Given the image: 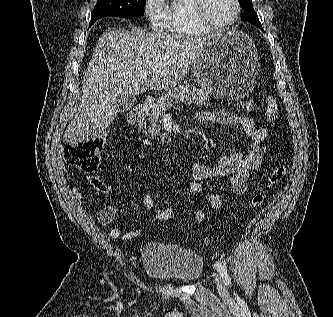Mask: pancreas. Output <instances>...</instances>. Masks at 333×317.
Instances as JSON below:
<instances>
[{
	"instance_id": "obj_1",
	"label": "pancreas",
	"mask_w": 333,
	"mask_h": 317,
	"mask_svg": "<svg viewBox=\"0 0 333 317\" xmlns=\"http://www.w3.org/2000/svg\"><path fill=\"white\" fill-rule=\"evenodd\" d=\"M207 99L208 94L206 92L193 86L182 85L170 89L163 93L157 103L152 106L151 112L148 114L150 125L144 133L149 137L160 135L162 141H164L166 136L160 133L162 118L165 112L173 106V103L187 102L189 105L196 107L206 104Z\"/></svg>"
}]
</instances>
